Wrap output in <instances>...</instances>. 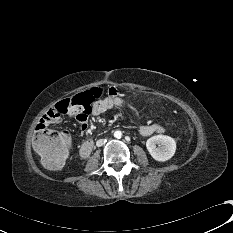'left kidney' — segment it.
<instances>
[{
    "label": "left kidney",
    "instance_id": "5707ae66",
    "mask_svg": "<svg viewBox=\"0 0 233 233\" xmlns=\"http://www.w3.org/2000/svg\"><path fill=\"white\" fill-rule=\"evenodd\" d=\"M146 147L153 159L164 162L174 156L176 142L170 136L155 135L147 140Z\"/></svg>",
    "mask_w": 233,
    "mask_h": 233
}]
</instances>
